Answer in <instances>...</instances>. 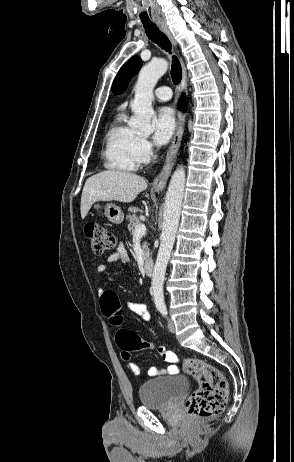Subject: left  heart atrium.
Returning a JSON list of instances; mask_svg holds the SVG:
<instances>
[{
	"instance_id": "1",
	"label": "left heart atrium",
	"mask_w": 294,
	"mask_h": 462,
	"mask_svg": "<svg viewBox=\"0 0 294 462\" xmlns=\"http://www.w3.org/2000/svg\"><path fill=\"white\" fill-rule=\"evenodd\" d=\"M176 127L175 114L170 107H162L154 117L155 139L159 144L167 143Z\"/></svg>"
}]
</instances>
